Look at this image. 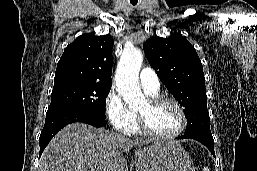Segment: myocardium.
Here are the masks:
<instances>
[{"instance_id":"myocardium-1","label":"myocardium","mask_w":257,"mask_h":171,"mask_svg":"<svg viewBox=\"0 0 257 171\" xmlns=\"http://www.w3.org/2000/svg\"><path fill=\"white\" fill-rule=\"evenodd\" d=\"M148 102L150 103L151 106H156V105H159L162 103L172 104L180 114L181 124H180V127L172 133H168V134L158 133V132L154 131L153 129H151L145 116L143 114L137 112V123H138L139 129L141 132H143L144 134L149 135L153 138H157V139L176 138L184 132V130L186 129V126H187V116H186L185 110L179 104L178 101H176L175 99L168 97V96L156 95V96H151L149 98Z\"/></svg>"}]
</instances>
